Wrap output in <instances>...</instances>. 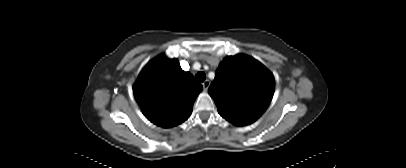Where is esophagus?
Here are the masks:
<instances>
[{"label":"esophagus","mask_w":406,"mask_h":168,"mask_svg":"<svg viewBox=\"0 0 406 168\" xmlns=\"http://www.w3.org/2000/svg\"><path fill=\"white\" fill-rule=\"evenodd\" d=\"M202 85H203V89H204L205 91H207L208 88H209V86H210L209 80H205V81L202 83Z\"/></svg>","instance_id":"obj_1"}]
</instances>
